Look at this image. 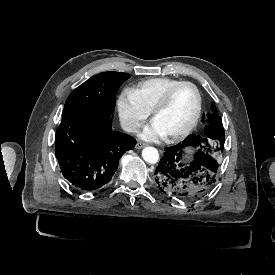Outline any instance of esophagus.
Wrapping results in <instances>:
<instances>
[{
  "label": "esophagus",
  "instance_id": "34e87169",
  "mask_svg": "<svg viewBox=\"0 0 275 275\" xmlns=\"http://www.w3.org/2000/svg\"><path fill=\"white\" fill-rule=\"evenodd\" d=\"M145 146H147V144L146 143H143V142H138L137 144H136V148L137 149H140V148H143V147H145Z\"/></svg>",
  "mask_w": 275,
  "mask_h": 275
}]
</instances>
